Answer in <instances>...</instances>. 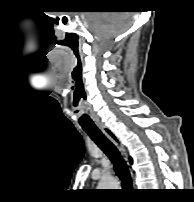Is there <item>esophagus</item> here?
Wrapping results in <instances>:
<instances>
[{
    "instance_id": "34e87169",
    "label": "esophagus",
    "mask_w": 194,
    "mask_h": 202,
    "mask_svg": "<svg viewBox=\"0 0 194 202\" xmlns=\"http://www.w3.org/2000/svg\"><path fill=\"white\" fill-rule=\"evenodd\" d=\"M99 128L103 131V133L118 147V149L125 154L124 147L118 138V136L107 126L103 124H98Z\"/></svg>"
}]
</instances>
